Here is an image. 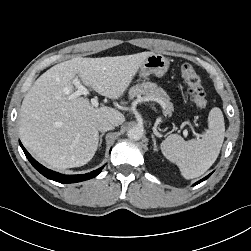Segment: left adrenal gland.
Segmentation results:
<instances>
[{
    "label": "left adrenal gland",
    "mask_w": 251,
    "mask_h": 251,
    "mask_svg": "<svg viewBox=\"0 0 251 251\" xmlns=\"http://www.w3.org/2000/svg\"><path fill=\"white\" fill-rule=\"evenodd\" d=\"M152 137V141H153V147H154V150L156 151L157 150V145H156V139H155V136L152 134L151 135Z\"/></svg>",
    "instance_id": "left-adrenal-gland-1"
}]
</instances>
